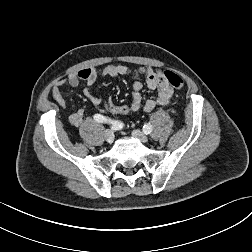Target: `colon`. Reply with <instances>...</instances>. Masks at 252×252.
I'll return each instance as SVG.
<instances>
[{"instance_id": "1", "label": "colon", "mask_w": 252, "mask_h": 252, "mask_svg": "<svg viewBox=\"0 0 252 252\" xmlns=\"http://www.w3.org/2000/svg\"><path fill=\"white\" fill-rule=\"evenodd\" d=\"M163 75L171 87L179 90L184 86L183 79L174 72L166 71ZM103 108L105 112L110 114L129 115L140 108V101L138 99H130L126 103H117L111 97L107 96L103 101Z\"/></svg>"}]
</instances>
